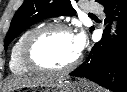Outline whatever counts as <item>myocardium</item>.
I'll list each match as a JSON object with an SVG mask.
<instances>
[{"label":"myocardium","instance_id":"myocardium-1","mask_svg":"<svg viewBox=\"0 0 127 92\" xmlns=\"http://www.w3.org/2000/svg\"><path fill=\"white\" fill-rule=\"evenodd\" d=\"M53 31H63L73 34V30L63 23H51L34 29L24 40L21 48V59L24 65L32 72L46 73V74H63L73 70L81 60L80 54L69 64L60 68L46 67L38 63L33 55V49L37 41L47 33Z\"/></svg>","mask_w":127,"mask_h":92}]
</instances>
